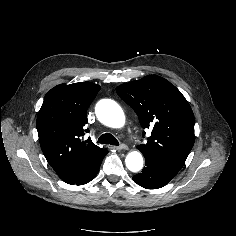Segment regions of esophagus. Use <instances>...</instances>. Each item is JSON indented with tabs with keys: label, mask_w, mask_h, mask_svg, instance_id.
Instances as JSON below:
<instances>
[{
	"label": "esophagus",
	"mask_w": 236,
	"mask_h": 236,
	"mask_svg": "<svg viewBox=\"0 0 236 236\" xmlns=\"http://www.w3.org/2000/svg\"><path fill=\"white\" fill-rule=\"evenodd\" d=\"M115 149H117V150H127L128 146L125 145V144H121L119 146H116Z\"/></svg>",
	"instance_id": "1"
}]
</instances>
